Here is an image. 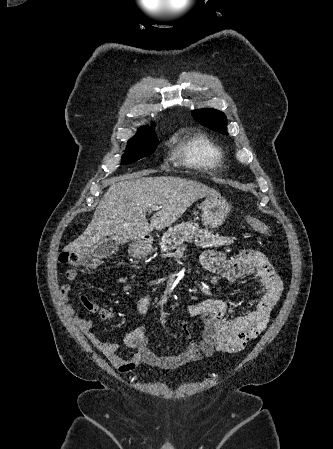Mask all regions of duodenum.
I'll return each instance as SVG.
<instances>
[{
  "instance_id": "410a0bca",
  "label": "duodenum",
  "mask_w": 333,
  "mask_h": 449,
  "mask_svg": "<svg viewBox=\"0 0 333 449\" xmlns=\"http://www.w3.org/2000/svg\"><path fill=\"white\" fill-rule=\"evenodd\" d=\"M151 243H152L151 237H144L143 239L138 241L133 248L134 255L137 257L145 255L149 247L151 246Z\"/></svg>"
}]
</instances>
